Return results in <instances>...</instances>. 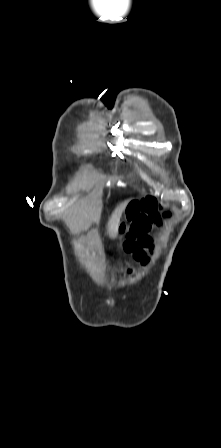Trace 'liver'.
<instances>
[{
    "instance_id": "1",
    "label": "liver",
    "mask_w": 221,
    "mask_h": 448,
    "mask_svg": "<svg viewBox=\"0 0 221 448\" xmlns=\"http://www.w3.org/2000/svg\"><path fill=\"white\" fill-rule=\"evenodd\" d=\"M126 207V202L123 203L113 214L112 218L110 219L108 223V234L111 238H114L118 233V226H119V218L122 213V211Z\"/></svg>"
}]
</instances>
